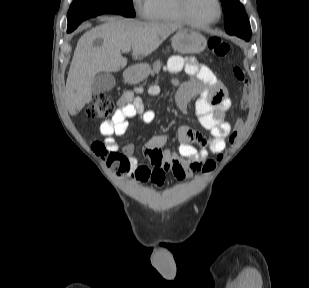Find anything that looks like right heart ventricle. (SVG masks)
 I'll return each mask as SVG.
<instances>
[{
  "label": "right heart ventricle",
  "mask_w": 309,
  "mask_h": 288,
  "mask_svg": "<svg viewBox=\"0 0 309 288\" xmlns=\"http://www.w3.org/2000/svg\"><path fill=\"white\" fill-rule=\"evenodd\" d=\"M142 14L151 21L171 24L187 23L178 9L177 0H146Z\"/></svg>",
  "instance_id": "right-heart-ventricle-1"
}]
</instances>
